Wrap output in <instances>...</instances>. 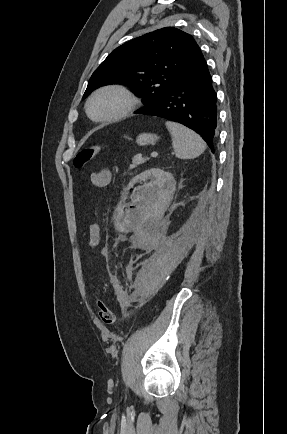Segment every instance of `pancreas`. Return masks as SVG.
I'll list each match as a JSON object with an SVG mask.
<instances>
[{
    "label": "pancreas",
    "instance_id": "obj_1",
    "mask_svg": "<svg viewBox=\"0 0 287 434\" xmlns=\"http://www.w3.org/2000/svg\"><path fill=\"white\" fill-rule=\"evenodd\" d=\"M147 158H143L140 154L135 155L132 158V164L130 165V169H134L138 167L139 165L145 163Z\"/></svg>",
    "mask_w": 287,
    "mask_h": 434
}]
</instances>
